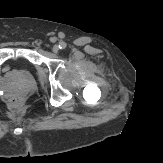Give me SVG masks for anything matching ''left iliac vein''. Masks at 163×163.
I'll list each match as a JSON object with an SVG mask.
<instances>
[{"instance_id":"left-iliac-vein-1","label":"left iliac vein","mask_w":163,"mask_h":163,"mask_svg":"<svg viewBox=\"0 0 163 163\" xmlns=\"http://www.w3.org/2000/svg\"><path fill=\"white\" fill-rule=\"evenodd\" d=\"M52 51H53L54 53H58V51H59V46H58V45H54L53 48H52Z\"/></svg>"}]
</instances>
